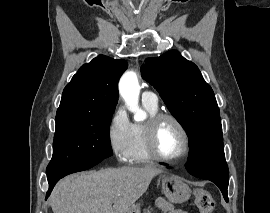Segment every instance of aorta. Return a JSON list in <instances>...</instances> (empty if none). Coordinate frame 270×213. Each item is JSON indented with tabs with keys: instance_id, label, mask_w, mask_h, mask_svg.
I'll return each mask as SVG.
<instances>
[{
	"instance_id": "1",
	"label": "aorta",
	"mask_w": 270,
	"mask_h": 213,
	"mask_svg": "<svg viewBox=\"0 0 270 213\" xmlns=\"http://www.w3.org/2000/svg\"><path fill=\"white\" fill-rule=\"evenodd\" d=\"M119 91L128 109L134 113L135 120L145 119L146 113L138 106L140 86L135 72L124 73L119 83Z\"/></svg>"
}]
</instances>
